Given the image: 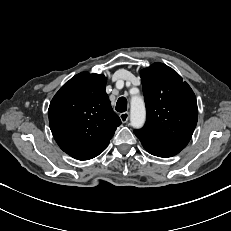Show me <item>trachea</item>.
I'll list each match as a JSON object with an SVG mask.
<instances>
[{
  "instance_id": "3493384b",
  "label": "trachea",
  "mask_w": 231,
  "mask_h": 231,
  "mask_svg": "<svg viewBox=\"0 0 231 231\" xmlns=\"http://www.w3.org/2000/svg\"><path fill=\"white\" fill-rule=\"evenodd\" d=\"M127 110V99L120 97L116 103V111L125 112Z\"/></svg>"
}]
</instances>
